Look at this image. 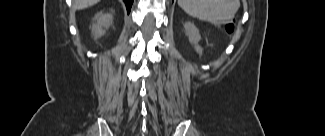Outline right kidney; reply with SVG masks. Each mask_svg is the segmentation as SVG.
<instances>
[{
	"instance_id": "1",
	"label": "right kidney",
	"mask_w": 325,
	"mask_h": 136,
	"mask_svg": "<svg viewBox=\"0 0 325 136\" xmlns=\"http://www.w3.org/2000/svg\"><path fill=\"white\" fill-rule=\"evenodd\" d=\"M113 16L111 13L104 14L102 12L97 13L93 19L95 23L92 24V34L95 39L104 35L105 30L103 28L108 29L112 24Z\"/></svg>"
}]
</instances>
